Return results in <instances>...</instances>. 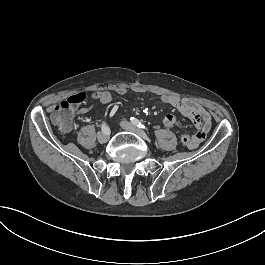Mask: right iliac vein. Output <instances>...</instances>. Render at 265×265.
<instances>
[{
  "mask_svg": "<svg viewBox=\"0 0 265 265\" xmlns=\"http://www.w3.org/2000/svg\"><path fill=\"white\" fill-rule=\"evenodd\" d=\"M110 132H99L97 135L98 141L100 143H106L109 140Z\"/></svg>",
  "mask_w": 265,
  "mask_h": 265,
  "instance_id": "1",
  "label": "right iliac vein"
}]
</instances>
